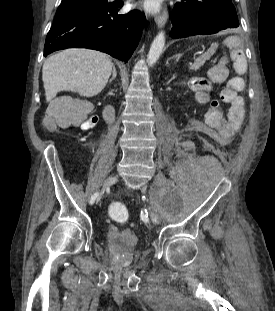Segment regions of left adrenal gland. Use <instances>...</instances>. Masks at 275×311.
<instances>
[{
  "mask_svg": "<svg viewBox=\"0 0 275 311\" xmlns=\"http://www.w3.org/2000/svg\"><path fill=\"white\" fill-rule=\"evenodd\" d=\"M176 59V61H178V59L180 58V55L179 54H176V55H174L173 57H171L170 59ZM169 59V60H170ZM167 65H168V62H167Z\"/></svg>",
  "mask_w": 275,
  "mask_h": 311,
  "instance_id": "1",
  "label": "left adrenal gland"
}]
</instances>
